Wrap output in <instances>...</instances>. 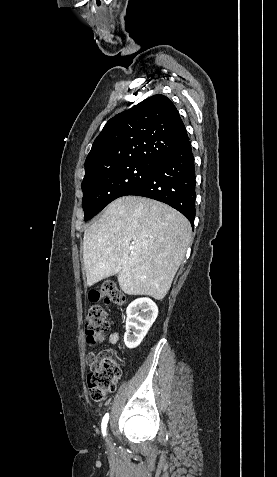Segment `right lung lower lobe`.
Listing matches in <instances>:
<instances>
[{
  "label": "right lung lower lobe",
  "instance_id": "obj_1",
  "mask_svg": "<svg viewBox=\"0 0 277 477\" xmlns=\"http://www.w3.org/2000/svg\"><path fill=\"white\" fill-rule=\"evenodd\" d=\"M126 195L164 202L181 212L194 226L195 170L191 142L158 159L146 178Z\"/></svg>",
  "mask_w": 277,
  "mask_h": 477
}]
</instances>
